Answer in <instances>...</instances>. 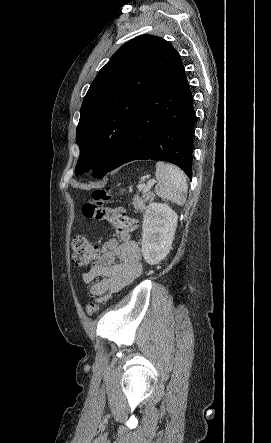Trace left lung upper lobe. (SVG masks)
<instances>
[{
	"label": "left lung upper lobe",
	"instance_id": "obj_1",
	"mask_svg": "<svg viewBox=\"0 0 271 443\" xmlns=\"http://www.w3.org/2000/svg\"><path fill=\"white\" fill-rule=\"evenodd\" d=\"M175 53L166 40L142 35L121 46L99 71L80 109L76 175L91 168L96 178L109 172L150 85Z\"/></svg>",
	"mask_w": 271,
	"mask_h": 443
}]
</instances>
